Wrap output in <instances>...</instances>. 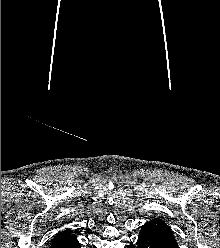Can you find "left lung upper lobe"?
Listing matches in <instances>:
<instances>
[{"mask_svg":"<svg viewBox=\"0 0 220 248\" xmlns=\"http://www.w3.org/2000/svg\"><path fill=\"white\" fill-rule=\"evenodd\" d=\"M145 226L150 227L154 230L155 234H157L162 240L166 243L178 246V243L173 235V232L170 227H168L160 218H153L146 224Z\"/></svg>","mask_w":220,"mask_h":248,"instance_id":"left-lung-upper-lobe-1","label":"left lung upper lobe"}]
</instances>
